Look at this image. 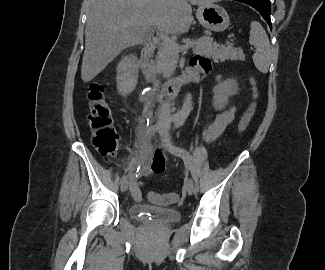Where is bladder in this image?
<instances>
[{"instance_id": "1", "label": "bladder", "mask_w": 325, "mask_h": 270, "mask_svg": "<svg viewBox=\"0 0 325 270\" xmlns=\"http://www.w3.org/2000/svg\"><path fill=\"white\" fill-rule=\"evenodd\" d=\"M128 212L134 219L151 220L159 225L171 224L179 221L181 218V213L177 209L141 203L131 204Z\"/></svg>"}]
</instances>
